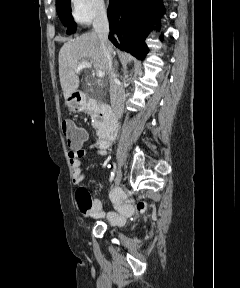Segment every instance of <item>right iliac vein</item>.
I'll return each mask as SVG.
<instances>
[{
	"mask_svg": "<svg viewBox=\"0 0 240 288\" xmlns=\"http://www.w3.org/2000/svg\"><path fill=\"white\" fill-rule=\"evenodd\" d=\"M121 178H122V172H121V169L118 168L117 169V175H116V178H115L114 188L119 187V185L121 183Z\"/></svg>",
	"mask_w": 240,
	"mask_h": 288,
	"instance_id": "right-iliac-vein-1",
	"label": "right iliac vein"
}]
</instances>
